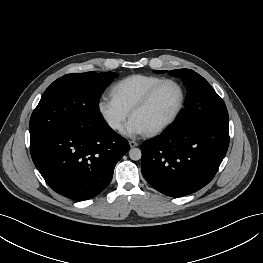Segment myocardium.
Instances as JSON below:
<instances>
[{"label": "myocardium", "instance_id": "myocardium-1", "mask_svg": "<svg viewBox=\"0 0 263 263\" xmlns=\"http://www.w3.org/2000/svg\"><path fill=\"white\" fill-rule=\"evenodd\" d=\"M166 83H172L174 85H176L180 91V101L179 104L176 108V110L174 111V113L163 123H161L160 125L154 127L153 129L146 131L145 134L147 136H154L159 134L160 132L166 130L168 127H170L179 117V115L181 114L185 103H186V89L184 87V85L178 81L177 79L174 78H164L161 81H159L158 83H156L155 85H153L144 95L143 97L131 108L130 110V116L132 117L133 114L135 112H137L138 110L144 108L153 98V96L155 95V93L158 91V89L163 86Z\"/></svg>", "mask_w": 263, "mask_h": 263}]
</instances>
